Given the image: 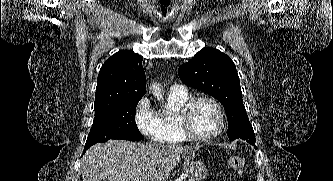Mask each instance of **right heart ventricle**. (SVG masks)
<instances>
[{
  "mask_svg": "<svg viewBox=\"0 0 333 181\" xmlns=\"http://www.w3.org/2000/svg\"><path fill=\"white\" fill-rule=\"evenodd\" d=\"M190 99L187 92L168 95L167 106L156 113L162 126V132L157 139L161 143H182L187 137L181 130L178 113L183 104Z\"/></svg>",
  "mask_w": 333,
  "mask_h": 181,
  "instance_id": "e07e8e85",
  "label": "right heart ventricle"
}]
</instances>
